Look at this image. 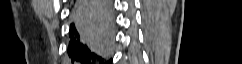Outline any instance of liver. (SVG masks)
I'll return each mask as SVG.
<instances>
[{
    "instance_id": "liver-1",
    "label": "liver",
    "mask_w": 242,
    "mask_h": 64,
    "mask_svg": "<svg viewBox=\"0 0 242 64\" xmlns=\"http://www.w3.org/2000/svg\"><path fill=\"white\" fill-rule=\"evenodd\" d=\"M80 25L90 36L100 35L106 32V28L104 27L100 16L95 13H91L88 19L81 20Z\"/></svg>"
}]
</instances>
